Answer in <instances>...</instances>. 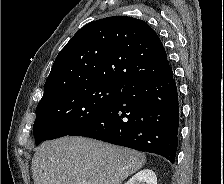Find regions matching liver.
<instances>
[{"label": "liver", "instance_id": "6515ba94", "mask_svg": "<svg viewBox=\"0 0 224 184\" xmlns=\"http://www.w3.org/2000/svg\"><path fill=\"white\" fill-rule=\"evenodd\" d=\"M145 162L138 151L66 136L42 143L31 168L34 184H122Z\"/></svg>", "mask_w": 224, "mask_h": 184}]
</instances>
